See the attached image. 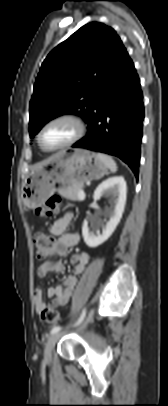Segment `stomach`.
<instances>
[{
	"label": "stomach",
	"mask_w": 168,
	"mask_h": 406,
	"mask_svg": "<svg viewBox=\"0 0 168 406\" xmlns=\"http://www.w3.org/2000/svg\"><path fill=\"white\" fill-rule=\"evenodd\" d=\"M108 167L95 152L86 149L63 150L36 168L22 184L26 207L42 206L55 192L102 178Z\"/></svg>",
	"instance_id": "0dacf381"
}]
</instances>
